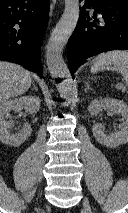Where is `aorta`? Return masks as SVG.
<instances>
[{"label":"aorta","instance_id":"762f6f07","mask_svg":"<svg viewBox=\"0 0 128 213\" xmlns=\"http://www.w3.org/2000/svg\"><path fill=\"white\" fill-rule=\"evenodd\" d=\"M80 7L79 0H65L64 12L52 31L46 46V63L52 78L62 79L57 84V89L62 98H70L73 91V81L62 52L68 39L73 33L78 19Z\"/></svg>","mask_w":128,"mask_h":213}]
</instances>
